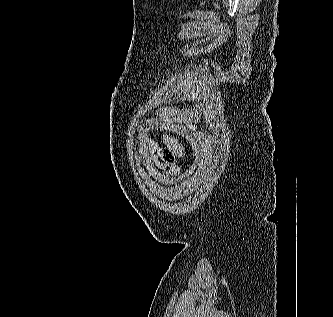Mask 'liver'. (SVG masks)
Segmentation results:
<instances>
[{
    "label": "liver",
    "instance_id": "liver-1",
    "mask_svg": "<svg viewBox=\"0 0 333 317\" xmlns=\"http://www.w3.org/2000/svg\"><path fill=\"white\" fill-rule=\"evenodd\" d=\"M163 142L167 146L168 150L172 152L173 155L183 158L185 155V149L182 144L178 142V140L170 135H163Z\"/></svg>",
    "mask_w": 333,
    "mask_h": 317
}]
</instances>
